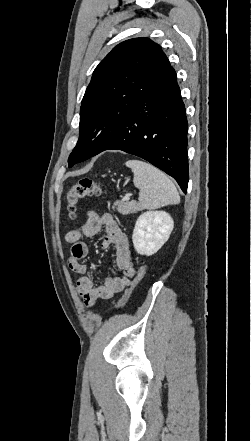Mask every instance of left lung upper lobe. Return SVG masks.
Here are the masks:
<instances>
[{"label": "left lung upper lobe", "mask_w": 251, "mask_h": 441, "mask_svg": "<svg viewBox=\"0 0 251 441\" xmlns=\"http://www.w3.org/2000/svg\"><path fill=\"white\" fill-rule=\"evenodd\" d=\"M170 66L161 47L148 38L118 44L94 70L80 109V136L68 164L87 160L94 125L128 114L149 86Z\"/></svg>", "instance_id": "5c2ea615"}]
</instances>
